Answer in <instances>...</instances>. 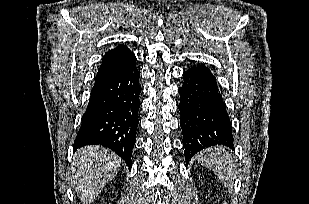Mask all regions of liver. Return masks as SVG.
<instances>
[{"label": "liver", "mask_w": 309, "mask_h": 204, "mask_svg": "<svg viewBox=\"0 0 309 204\" xmlns=\"http://www.w3.org/2000/svg\"><path fill=\"white\" fill-rule=\"evenodd\" d=\"M121 159L109 149L88 146L78 150L72 162L71 185L83 204H90L121 168Z\"/></svg>", "instance_id": "obj_1"}]
</instances>
